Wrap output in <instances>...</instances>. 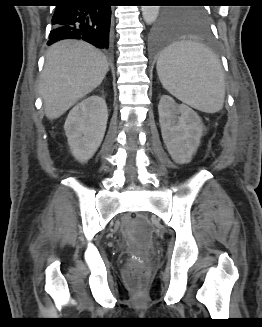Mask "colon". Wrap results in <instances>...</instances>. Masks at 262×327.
Here are the masks:
<instances>
[{"mask_svg": "<svg viewBox=\"0 0 262 327\" xmlns=\"http://www.w3.org/2000/svg\"><path fill=\"white\" fill-rule=\"evenodd\" d=\"M124 229L133 244L146 246L149 243L152 229L146 218L142 216L131 217ZM128 278L134 292L141 296L145 289L141 272H128Z\"/></svg>", "mask_w": 262, "mask_h": 327, "instance_id": "5ec220e1", "label": "colon"}]
</instances>
